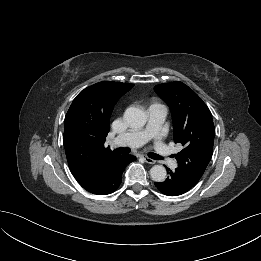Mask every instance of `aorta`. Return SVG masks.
I'll use <instances>...</instances> for the list:
<instances>
[{
  "instance_id": "1",
  "label": "aorta",
  "mask_w": 261,
  "mask_h": 261,
  "mask_svg": "<svg viewBox=\"0 0 261 261\" xmlns=\"http://www.w3.org/2000/svg\"><path fill=\"white\" fill-rule=\"evenodd\" d=\"M125 122L132 128H141L147 122L145 111L138 107H128L124 113ZM150 176L155 182H163L166 179V169L162 165H154L150 169Z\"/></svg>"
}]
</instances>
